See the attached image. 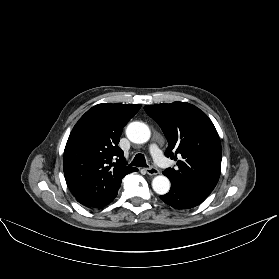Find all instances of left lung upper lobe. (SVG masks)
<instances>
[{"label":"left lung upper lobe","instance_id":"obj_1","mask_svg":"<svg viewBox=\"0 0 279 279\" xmlns=\"http://www.w3.org/2000/svg\"><path fill=\"white\" fill-rule=\"evenodd\" d=\"M144 109L167 138L166 157L177 160L178 167L168 168L163 174L171 183L209 196L219 180L222 157L221 142L211 120L186 102Z\"/></svg>","mask_w":279,"mask_h":279}]
</instances>
